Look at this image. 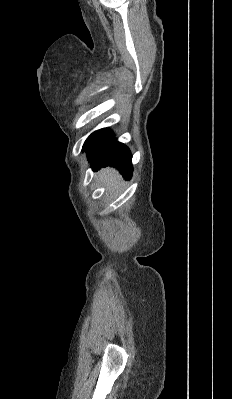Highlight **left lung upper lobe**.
Instances as JSON below:
<instances>
[{"label": "left lung upper lobe", "instance_id": "left-lung-upper-lobe-1", "mask_svg": "<svg viewBox=\"0 0 232 399\" xmlns=\"http://www.w3.org/2000/svg\"><path fill=\"white\" fill-rule=\"evenodd\" d=\"M113 134L108 128H103L93 132L85 141L83 149L87 152L99 149L106 143Z\"/></svg>", "mask_w": 232, "mask_h": 399}]
</instances>
